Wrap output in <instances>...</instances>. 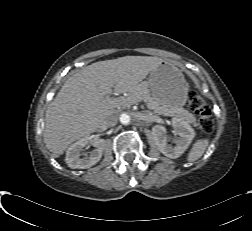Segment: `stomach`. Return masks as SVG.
<instances>
[{
    "instance_id": "1",
    "label": "stomach",
    "mask_w": 252,
    "mask_h": 231,
    "mask_svg": "<svg viewBox=\"0 0 252 231\" xmlns=\"http://www.w3.org/2000/svg\"><path fill=\"white\" fill-rule=\"evenodd\" d=\"M147 83L153 99L162 108H180L185 105L189 84L174 65L163 61L150 73Z\"/></svg>"
}]
</instances>
